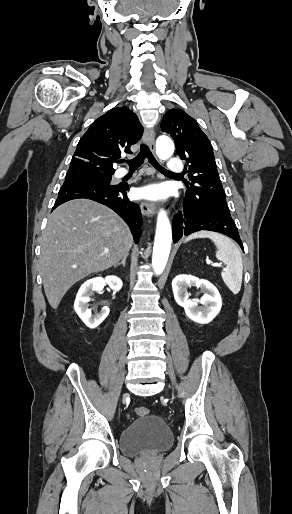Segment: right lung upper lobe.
Returning a JSON list of instances; mask_svg holds the SVG:
<instances>
[{"mask_svg": "<svg viewBox=\"0 0 292 514\" xmlns=\"http://www.w3.org/2000/svg\"><path fill=\"white\" fill-rule=\"evenodd\" d=\"M143 127L133 111L117 107L96 119L81 137L68 172L114 173L113 163L121 152L131 153Z\"/></svg>", "mask_w": 292, "mask_h": 514, "instance_id": "right-lung-upper-lobe-1", "label": "right lung upper lobe"}]
</instances>
